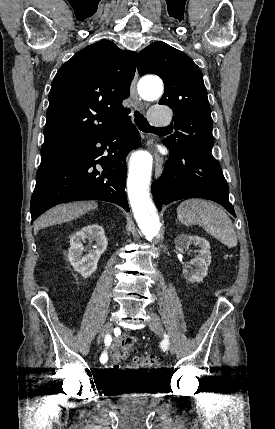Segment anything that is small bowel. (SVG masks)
<instances>
[{"label":"small bowel","mask_w":275,"mask_h":429,"mask_svg":"<svg viewBox=\"0 0 275 429\" xmlns=\"http://www.w3.org/2000/svg\"><path fill=\"white\" fill-rule=\"evenodd\" d=\"M133 339V337L129 334H124L123 336H121L119 339H117L116 341H114L112 343V345L110 344L109 346L106 347V353H109L111 359L113 360V364L111 365V367H115L116 363L114 362V352L115 350L126 340H130ZM108 356V354H107Z\"/></svg>","instance_id":"obj_1"}]
</instances>
